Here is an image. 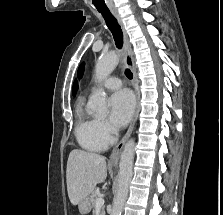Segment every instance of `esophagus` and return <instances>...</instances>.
<instances>
[{"instance_id": "esophagus-1", "label": "esophagus", "mask_w": 223, "mask_h": 215, "mask_svg": "<svg viewBox=\"0 0 223 215\" xmlns=\"http://www.w3.org/2000/svg\"><path fill=\"white\" fill-rule=\"evenodd\" d=\"M111 13L114 15V17L116 18L118 24L120 25V28L123 32V39H124V64L126 65V67L130 68L133 72L134 75V79L137 81V73H136V67H135V62H134V55H133V51L131 48V44L129 42V38L123 23L122 18L120 17V14L118 12L117 9H111ZM139 103H140V92L137 89L136 90V102H135V110H134V115L133 118L131 120V123L129 125V128L127 130V132L125 133V135L123 136V138L120 140V142L116 145V147H114L111 155H110V159H109V163L111 165H117L118 164V160L121 154V151L125 145V143L127 142V140L129 139L132 131H133V127L135 125L136 119H137V115L139 112Z\"/></svg>"}]
</instances>
